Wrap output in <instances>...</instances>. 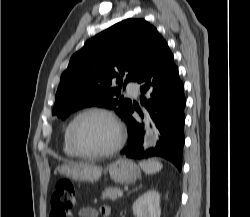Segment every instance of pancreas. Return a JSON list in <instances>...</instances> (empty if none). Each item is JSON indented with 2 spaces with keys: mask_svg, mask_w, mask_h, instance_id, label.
<instances>
[{
  "mask_svg": "<svg viewBox=\"0 0 250 217\" xmlns=\"http://www.w3.org/2000/svg\"><path fill=\"white\" fill-rule=\"evenodd\" d=\"M121 191L119 187H109L102 192V199H110L114 201L118 197V193Z\"/></svg>",
  "mask_w": 250,
  "mask_h": 217,
  "instance_id": "cf45deb5",
  "label": "pancreas"
}]
</instances>
